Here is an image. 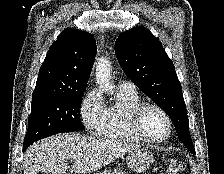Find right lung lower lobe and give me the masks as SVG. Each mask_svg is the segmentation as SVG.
Returning a JSON list of instances; mask_svg holds the SVG:
<instances>
[{
    "instance_id": "98d812e1",
    "label": "right lung lower lobe",
    "mask_w": 224,
    "mask_h": 174,
    "mask_svg": "<svg viewBox=\"0 0 224 174\" xmlns=\"http://www.w3.org/2000/svg\"><path fill=\"white\" fill-rule=\"evenodd\" d=\"M29 146V144L24 145V150H26V148Z\"/></svg>"
}]
</instances>
